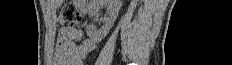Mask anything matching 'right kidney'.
Instances as JSON below:
<instances>
[{
	"mask_svg": "<svg viewBox=\"0 0 232 65\" xmlns=\"http://www.w3.org/2000/svg\"><path fill=\"white\" fill-rule=\"evenodd\" d=\"M121 2V0H97L90 6V16H95L98 10L106 4L108 5L110 14L108 22L100 30H97L94 25H89L87 27L86 33L93 41L99 43L107 36L119 14V10L122 6Z\"/></svg>",
	"mask_w": 232,
	"mask_h": 65,
	"instance_id": "ca27d5eb",
	"label": "right kidney"
}]
</instances>
